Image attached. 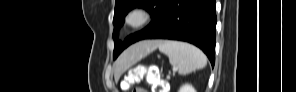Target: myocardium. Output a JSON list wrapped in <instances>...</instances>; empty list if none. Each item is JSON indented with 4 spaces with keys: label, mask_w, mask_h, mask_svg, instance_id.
<instances>
[{
    "label": "myocardium",
    "mask_w": 296,
    "mask_h": 92,
    "mask_svg": "<svg viewBox=\"0 0 296 92\" xmlns=\"http://www.w3.org/2000/svg\"><path fill=\"white\" fill-rule=\"evenodd\" d=\"M150 20V13L144 7H135L131 9L126 17L125 24L132 29H138L147 24Z\"/></svg>",
    "instance_id": "myocardium-1"
}]
</instances>
